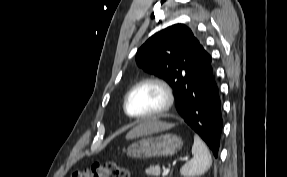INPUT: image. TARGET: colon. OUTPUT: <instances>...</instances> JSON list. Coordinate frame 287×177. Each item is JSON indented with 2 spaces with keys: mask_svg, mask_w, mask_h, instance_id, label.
<instances>
[{
  "mask_svg": "<svg viewBox=\"0 0 287 177\" xmlns=\"http://www.w3.org/2000/svg\"><path fill=\"white\" fill-rule=\"evenodd\" d=\"M72 177H131V175L125 167L109 161L95 163L84 170H77L72 174Z\"/></svg>",
  "mask_w": 287,
  "mask_h": 177,
  "instance_id": "5ec220e1",
  "label": "colon"
}]
</instances>
